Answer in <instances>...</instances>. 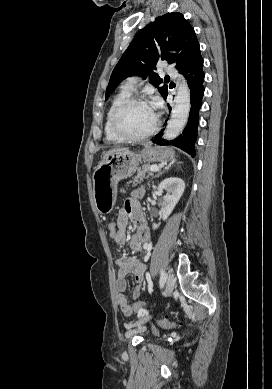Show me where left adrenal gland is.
<instances>
[{"mask_svg": "<svg viewBox=\"0 0 272 389\" xmlns=\"http://www.w3.org/2000/svg\"><path fill=\"white\" fill-rule=\"evenodd\" d=\"M169 167H166L164 171H166ZM163 171V172H164ZM163 172H159L155 177L159 176L160 174H162Z\"/></svg>", "mask_w": 272, "mask_h": 389, "instance_id": "obj_1", "label": "left adrenal gland"}]
</instances>
